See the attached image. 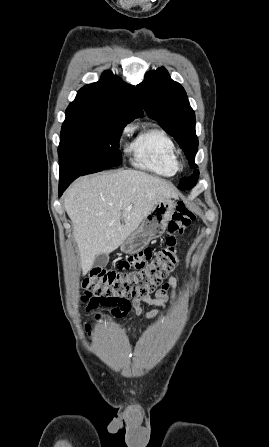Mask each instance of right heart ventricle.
Masks as SVG:
<instances>
[{
    "label": "right heart ventricle",
    "mask_w": 269,
    "mask_h": 447,
    "mask_svg": "<svg viewBox=\"0 0 269 447\" xmlns=\"http://www.w3.org/2000/svg\"><path fill=\"white\" fill-rule=\"evenodd\" d=\"M132 164L161 176H172L179 169L178 155L171 136L162 128L142 132L129 146Z\"/></svg>",
    "instance_id": "1"
}]
</instances>
